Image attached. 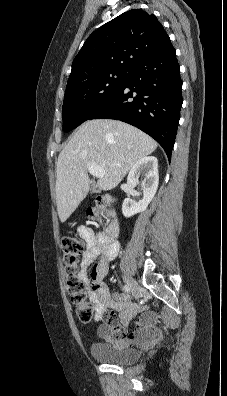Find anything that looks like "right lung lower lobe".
I'll list each match as a JSON object with an SVG mask.
<instances>
[{"mask_svg": "<svg viewBox=\"0 0 227 396\" xmlns=\"http://www.w3.org/2000/svg\"><path fill=\"white\" fill-rule=\"evenodd\" d=\"M181 87L176 51L169 42L134 65L121 89L89 119H115L139 128L170 160L183 102Z\"/></svg>", "mask_w": 227, "mask_h": 396, "instance_id": "right-lung-lower-lobe-1", "label": "right lung lower lobe"}]
</instances>
